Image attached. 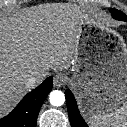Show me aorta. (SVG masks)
<instances>
[{
	"label": "aorta",
	"mask_w": 127,
	"mask_h": 127,
	"mask_svg": "<svg viewBox=\"0 0 127 127\" xmlns=\"http://www.w3.org/2000/svg\"><path fill=\"white\" fill-rule=\"evenodd\" d=\"M50 103L53 106H62L65 102V95L62 91L54 90L49 95Z\"/></svg>",
	"instance_id": "762f6f07"
}]
</instances>
